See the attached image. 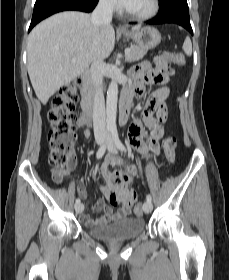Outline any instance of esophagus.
I'll return each mask as SVG.
<instances>
[{"label": "esophagus", "mask_w": 229, "mask_h": 280, "mask_svg": "<svg viewBox=\"0 0 229 280\" xmlns=\"http://www.w3.org/2000/svg\"><path fill=\"white\" fill-rule=\"evenodd\" d=\"M118 29H119V30H125V27L120 25V26L118 27Z\"/></svg>", "instance_id": "obj_1"}]
</instances>
